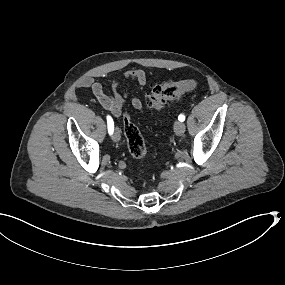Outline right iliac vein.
<instances>
[{
    "instance_id": "obj_1",
    "label": "right iliac vein",
    "mask_w": 285,
    "mask_h": 285,
    "mask_svg": "<svg viewBox=\"0 0 285 285\" xmlns=\"http://www.w3.org/2000/svg\"><path fill=\"white\" fill-rule=\"evenodd\" d=\"M112 138L115 142H118L120 140V131L118 130V128L115 129Z\"/></svg>"
}]
</instances>
